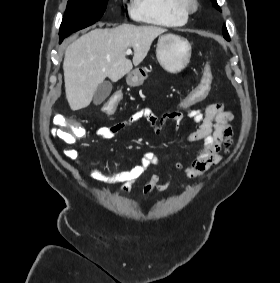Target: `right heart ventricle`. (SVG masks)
<instances>
[{
    "label": "right heart ventricle",
    "instance_id": "obj_1",
    "mask_svg": "<svg viewBox=\"0 0 280 283\" xmlns=\"http://www.w3.org/2000/svg\"><path fill=\"white\" fill-rule=\"evenodd\" d=\"M131 15L139 22L165 27L182 26L188 20L181 0H134Z\"/></svg>",
    "mask_w": 280,
    "mask_h": 283
}]
</instances>
